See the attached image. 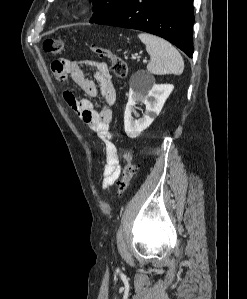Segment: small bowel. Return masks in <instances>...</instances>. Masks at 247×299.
Returning <instances> with one entry per match:
<instances>
[{
    "mask_svg": "<svg viewBox=\"0 0 247 299\" xmlns=\"http://www.w3.org/2000/svg\"><path fill=\"white\" fill-rule=\"evenodd\" d=\"M83 66L93 69L95 81L86 78ZM52 71L58 82L65 83L67 77L70 76L88 96H101L103 99L102 108L96 110L90 100L78 98L71 90L67 89L63 93L68 106L81 117L86 126L96 132L104 144L106 163L102 169V187L108 188L117 181L121 172L118 149L112 141L110 133L112 106L116 101V90L109 66L105 62H78L59 59L52 63Z\"/></svg>",
    "mask_w": 247,
    "mask_h": 299,
    "instance_id": "1",
    "label": "small bowel"
}]
</instances>
